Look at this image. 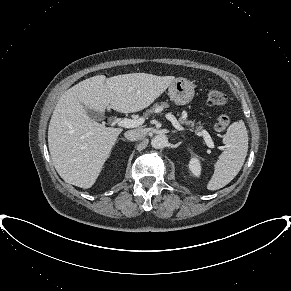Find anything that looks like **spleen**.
<instances>
[{"label": "spleen", "instance_id": "3e777b00", "mask_svg": "<svg viewBox=\"0 0 291 291\" xmlns=\"http://www.w3.org/2000/svg\"><path fill=\"white\" fill-rule=\"evenodd\" d=\"M226 149L215 163L208 190H218L230 183L241 170L248 151V133L243 121L232 123L223 137Z\"/></svg>", "mask_w": 291, "mask_h": 291}]
</instances>
